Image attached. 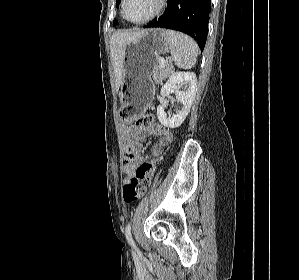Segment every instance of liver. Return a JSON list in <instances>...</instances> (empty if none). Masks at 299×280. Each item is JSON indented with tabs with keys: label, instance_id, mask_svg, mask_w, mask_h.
<instances>
[{
	"label": "liver",
	"instance_id": "6515ba94",
	"mask_svg": "<svg viewBox=\"0 0 299 280\" xmlns=\"http://www.w3.org/2000/svg\"><path fill=\"white\" fill-rule=\"evenodd\" d=\"M142 31L116 32L110 40L111 58L115 73V88L119 90L123 82V63L126 45L136 39Z\"/></svg>",
	"mask_w": 299,
	"mask_h": 280
}]
</instances>
